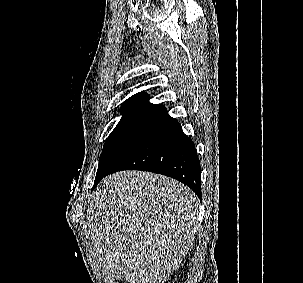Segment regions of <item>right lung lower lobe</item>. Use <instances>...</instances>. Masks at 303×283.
<instances>
[{
	"label": "right lung lower lobe",
	"instance_id": "right-lung-lower-lobe-1",
	"mask_svg": "<svg viewBox=\"0 0 303 283\" xmlns=\"http://www.w3.org/2000/svg\"><path fill=\"white\" fill-rule=\"evenodd\" d=\"M122 170H143L172 177L201 197L200 162L195 145L179 122L166 112L126 149L111 169L97 181Z\"/></svg>",
	"mask_w": 303,
	"mask_h": 283
}]
</instances>
